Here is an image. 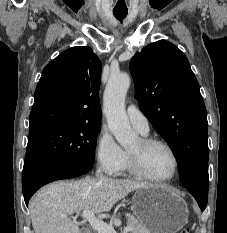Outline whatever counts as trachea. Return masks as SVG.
Segmentation results:
<instances>
[{
	"label": "trachea",
	"mask_w": 227,
	"mask_h": 233,
	"mask_svg": "<svg viewBox=\"0 0 227 233\" xmlns=\"http://www.w3.org/2000/svg\"><path fill=\"white\" fill-rule=\"evenodd\" d=\"M127 11H120V12H114L113 11V14L114 16L119 20V21H122L126 16H127Z\"/></svg>",
	"instance_id": "trachea-1"
}]
</instances>
